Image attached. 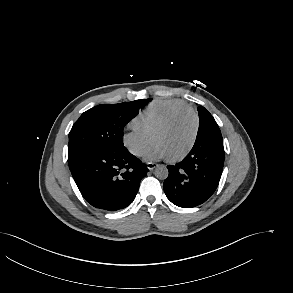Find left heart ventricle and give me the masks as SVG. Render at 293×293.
<instances>
[{"label": "left heart ventricle", "instance_id": "left-heart-ventricle-1", "mask_svg": "<svg viewBox=\"0 0 293 293\" xmlns=\"http://www.w3.org/2000/svg\"><path fill=\"white\" fill-rule=\"evenodd\" d=\"M195 122L191 114L177 118L174 123L155 136L153 142L160 144L168 157L181 154L190 144L194 133Z\"/></svg>", "mask_w": 293, "mask_h": 293}]
</instances>
